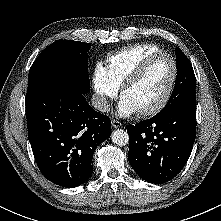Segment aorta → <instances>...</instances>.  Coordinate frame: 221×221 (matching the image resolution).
Here are the masks:
<instances>
[{"label":"aorta","instance_id":"1","mask_svg":"<svg viewBox=\"0 0 221 221\" xmlns=\"http://www.w3.org/2000/svg\"><path fill=\"white\" fill-rule=\"evenodd\" d=\"M111 139L114 144L124 146L129 142L128 133L123 129H117L112 132Z\"/></svg>","mask_w":221,"mask_h":221}]
</instances>
